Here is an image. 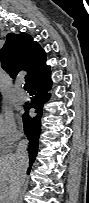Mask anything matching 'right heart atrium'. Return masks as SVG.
I'll return each instance as SVG.
<instances>
[{"label":"right heart atrium","instance_id":"d8ad5b80","mask_svg":"<svg viewBox=\"0 0 89 203\" xmlns=\"http://www.w3.org/2000/svg\"><path fill=\"white\" fill-rule=\"evenodd\" d=\"M20 133L17 130L13 115L5 112L0 115V145L4 150L13 148L19 139Z\"/></svg>","mask_w":89,"mask_h":203}]
</instances>
